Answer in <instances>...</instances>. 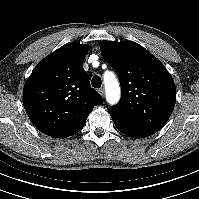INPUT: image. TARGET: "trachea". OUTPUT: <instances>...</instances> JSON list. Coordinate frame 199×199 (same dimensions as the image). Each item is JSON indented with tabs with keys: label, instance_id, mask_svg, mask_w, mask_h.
<instances>
[{
	"label": "trachea",
	"instance_id": "trachea-1",
	"mask_svg": "<svg viewBox=\"0 0 199 199\" xmlns=\"http://www.w3.org/2000/svg\"><path fill=\"white\" fill-rule=\"evenodd\" d=\"M91 84L94 88H100L102 85V80L99 76H94L91 80Z\"/></svg>",
	"mask_w": 199,
	"mask_h": 199
}]
</instances>
